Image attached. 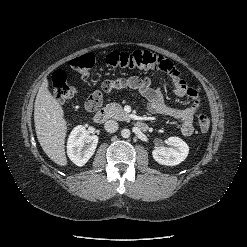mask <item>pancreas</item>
Returning a JSON list of instances; mask_svg holds the SVG:
<instances>
[{"mask_svg": "<svg viewBox=\"0 0 247 247\" xmlns=\"http://www.w3.org/2000/svg\"><path fill=\"white\" fill-rule=\"evenodd\" d=\"M104 112L108 118L115 120L126 121L129 119L122 106L115 102L107 104L104 107Z\"/></svg>", "mask_w": 247, "mask_h": 247, "instance_id": "pancreas-1", "label": "pancreas"}]
</instances>
